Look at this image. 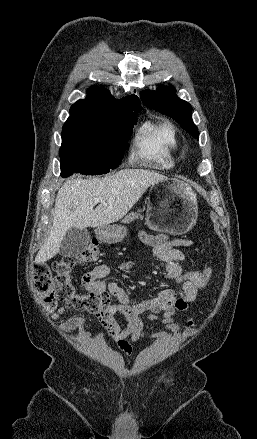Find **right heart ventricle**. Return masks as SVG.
<instances>
[{
  "label": "right heart ventricle",
  "instance_id": "e07e8e85",
  "mask_svg": "<svg viewBox=\"0 0 257 439\" xmlns=\"http://www.w3.org/2000/svg\"><path fill=\"white\" fill-rule=\"evenodd\" d=\"M138 155L146 162L158 168L168 169L174 165V152L179 148L175 127L168 121L146 123L141 126L135 137Z\"/></svg>",
  "mask_w": 257,
  "mask_h": 439
}]
</instances>
